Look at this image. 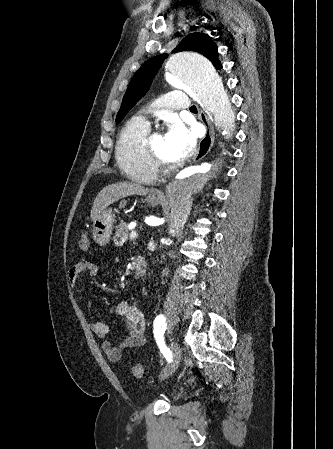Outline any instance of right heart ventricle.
I'll return each instance as SVG.
<instances>
[{
    "label": "right heart ventricle",
    "mask_w": 333,
    "mask_h": 449,
    "mask_svg": "<svg viewBox=\"0 0 333 449\" xmlns=\"http://www.w3.org/2000/svg\"><path fill=\"white\" fill-rule=\"evenodd\" d=\"M148 133V124L141 118H133L126 123L115 145V157L120 169L129 179L143 184L154 182L158 175L144 148Z\"/></svg>",
    "instance_id": "1"
}]
</instances>
